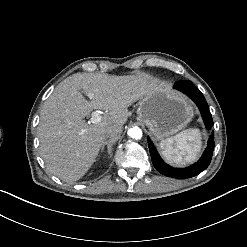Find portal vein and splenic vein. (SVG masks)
<instances>
[{
    "instance_id": "portal-vein-and-splenic-vein-1",
    "label": "portal vein and splenic vein",
    "mask_w": 247,
    "mask_h": 247,
    "mask_svg": "<svg viewBox=\"0 0 247 247\" xmlns=\"http://www.w3.org/2000/svg\"><path fill=\"white\" fill-rule=\"evenodd\" d=\"M101 119H102V117H101L100 113L98 111H94L91 114L90 123L97 124L98 122L101 121Z\"/></svg>"
}]
</instances>
